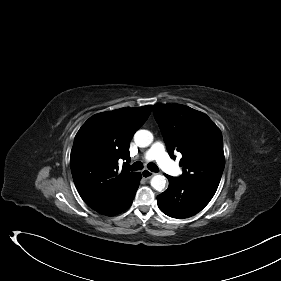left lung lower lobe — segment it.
<instances>
[{
	"mask_svg": "<svg viewBox=\"0 0 281 281\" xmlns=\"http://www.w3.org/2000/svg\"><path fill=\"white\" fill-rule=\"evenodd\" d=\"M168 189L157 196L160 210L173 218H188L200 212L212 199L215 192L193 180L165 175Z\"/></svg>",
	"mask_w": 281,
	"mask_h": 281,
	"instance_id": "left-lung-lower-lobe-1",
	"label": "left lung lower lobe"
}]
</instances>
